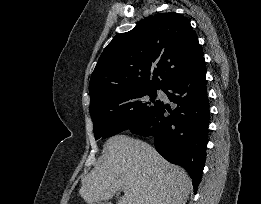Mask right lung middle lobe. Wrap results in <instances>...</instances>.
<instances>
[{
    "label": "right lung middle lobe",
    "mask_w": 261,
    "mask_h": 204,
    "mask_svg": "<svg viewBox=\"0 0 261 204\" xmlns=\"http://www.w3.org/2000/svg\"><path fill=\"white\" fill-rule=\"evenodd\" d=\"M156 90H129L89 108L95 139L107 138L141 121L159 103Z\"/></svg>",
    "instance_id": "1"
}]
</instances>
